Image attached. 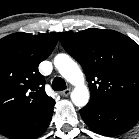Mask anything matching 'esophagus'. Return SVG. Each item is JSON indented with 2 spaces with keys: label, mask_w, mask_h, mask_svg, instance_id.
Instances as JSON below:
<instances>
[{
  "label": "esophagus",
  "mask_w": 139,
  "mask_h": 139,
  "mask_svg": "<svg viewBox=\"0 0 139 139\" xmlns=\"http://www.w3.org/2000/svg\"><path fill=\"white\" fill-rule=\"evenodd\" d=\"M71 93L70 89H65L61 92V95L64 97H67Z\"/></svg>",
  "instance_id": "esophagus-1"
}]
</instances>
